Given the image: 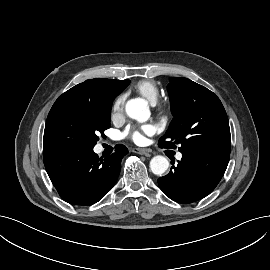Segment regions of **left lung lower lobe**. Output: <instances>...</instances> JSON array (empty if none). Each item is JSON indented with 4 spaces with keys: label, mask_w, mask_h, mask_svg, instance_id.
Returning a JSON list of instances; mask_svg holds the SVG:
<instances>
[{
    "label": "left lung lower lobe",
    "mask_w": 270,
    "mask_h": 270,
    "mask_svg": "<svg viewBox=\"0 0 270 270\" xmlns=\"http://www.w3.org/2000/svg\"><path fill=\"white\" fill-rule=\"evenodd\" d=\"M230 154L215 151L186 152L177 166L158 179L161 190L173 201L189 204L210 194L220 182ZM174 164V163H173Z\"/></svg>",
    "instance_id": "obj_1"
}]
</instances>
